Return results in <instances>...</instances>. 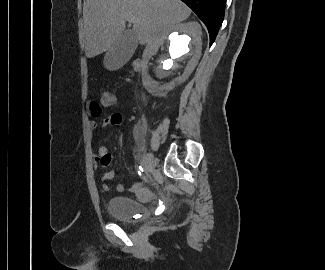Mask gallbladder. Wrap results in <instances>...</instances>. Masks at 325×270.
Wrapping results in <instances>:
<instances>
[{
    "instance_id": "bac80fb5",
    "label": "gallbladder",
    "mask_w": 325,
    "mask_h": 270,
    "mask_svg": "<svg viewBox=\"0 0 325 270\" xmlns=\"http://www.w3.org/2000/svg\"><path fill=\"white\" fill-rule=\"evenodd\" d=\"M137 45L135 33L131 30L124 31L107 51L104 57L105 67L110 70L122 67L132 57Z\"/></svg>"
}]
</instances>
